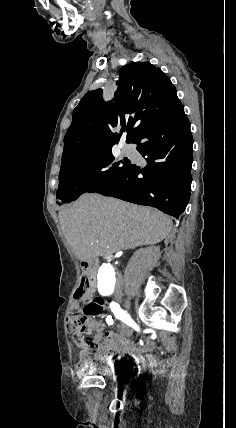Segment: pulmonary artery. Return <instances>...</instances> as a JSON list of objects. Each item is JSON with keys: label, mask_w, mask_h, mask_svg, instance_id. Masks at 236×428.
I'll return each mask as SVG.
<instances>
[{"label": "pulmonary artery", "mask_w": 236, "mask_h": 428, "mask_svg": "<svg viewBox=\"0 0 236 428\" xmlns=\"http://www.w3.org/2000/svg\"><path fill=\"white\" fill-rule=\"evenodd\" d=\"M134 148L131 145H124L123 146V151L126 154H130L131 152H133Z\"/></svg>", "instance_id": "1"}]
</instances>
